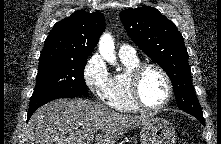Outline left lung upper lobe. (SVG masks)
<instances>
[{"mask_svg":"<svg viewBox=\"0 0 221 144\" xmlns=\"http://www.w3.org/2000/svg\"><path fill=\"white\" fill-rule=\"evenodd\" d=\"M120 18L130 38L168 74L179 109L203 115L193 91L184 39L175 24L150 6L126 9Z\"/></svg>","mask_w":221,"mask_h":144,"instance_id":"obj_1","label":"left lung upper lobe"}]
</instances>
